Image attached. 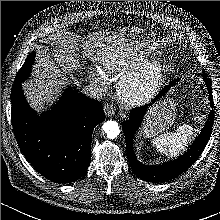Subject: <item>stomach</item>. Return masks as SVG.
<instances>
[{
    "label": "stomach",
    "mask_w": 220,
    "mask_h": 220,
    "mask_svg": "<svg viewBox=\"0 0 220 220\" xmlns=\"http://www.w3.org/2000/svg\"><path fill=\"white\" fill-rule=\"evenodd\" d=\"M124 33L127 36V40L135 48L143 47L145 49H151L156 43V34L152 30L128 28ZM175 105L174 100L169 99L154 107L147 117L144 134L148 137L155 136L171 127L176 116Z\"/></svg>",
    "instance_id": "1"
}]
</instances>
